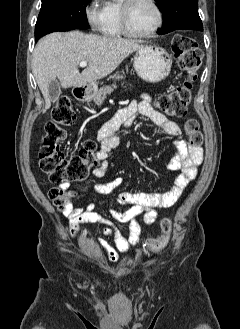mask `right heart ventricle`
<instances>
[{
    "label": "right heart ventricle",
    "mask_w": 240,
    "mask_h": 329,
    "mask_svg": "<svg viewBox=\"0 0 240 329\" xmlns=\"http://www.w3.org/2000/svg\"><path fill=\"white\" fill-rule=\"evenodd\" d=\"M123 0H105L101 9L102 16L98 29L108 38L126 36L121 28V5Z\"/></svg>",
    "instance_id": "e07e8e85"
}]
</instances>
